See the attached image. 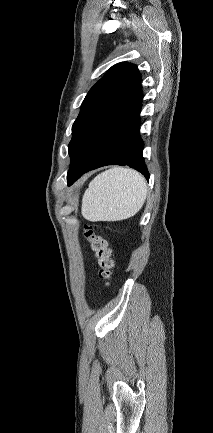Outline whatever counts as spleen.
Instances as JSON below:
<instances>
[{"label": "spleen", "mask_w": 213, "mask_h": 433, "mask_svg": "<svg viewBox=\"0 0 213 433\" xmlns=\"http://www.w3.org/2000/svg\"><path fill=\"white\" fill-rule=\"evenodd\" d=\"M146 195L147 184L140 173L113 167L89 183L83 195L81 212L92 222L125 220L142 208Z\"/></svg>", "instance_id": "spleen-1"}]
</instances>
